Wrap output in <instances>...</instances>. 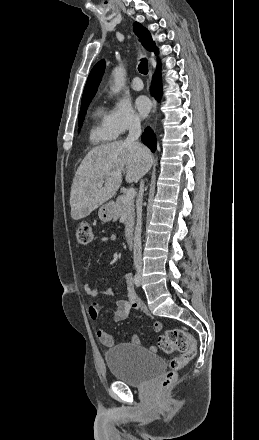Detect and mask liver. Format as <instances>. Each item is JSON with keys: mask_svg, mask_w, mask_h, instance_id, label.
<instances>
[{"mask_svg": "<svg viewBox=\"0 0 259 440\" xmlns=\"http://www.w3.org/2000/svg\"><path fill=\"white\" fill-rule=\"evenodd\" d=\"M146 148V147H145ZM153 157L146 148L126 141H114L92 149L78 167L70 193L71 217H87L111 199L126 173L128 183L138 182L151 168ZM99 183H103L98 187Z\"/></svg>", "mask_w": 259, "mask_h": 440, "instance_id": "6515ba94", "label": "liver"}]
</instances>
